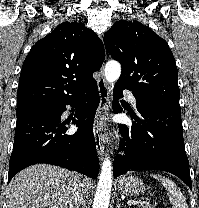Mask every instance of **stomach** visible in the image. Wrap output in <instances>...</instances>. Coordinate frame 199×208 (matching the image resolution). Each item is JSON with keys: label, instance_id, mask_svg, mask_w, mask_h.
<instances>
[{"label": "stomach", "instance_id": "obj_1", "mask_svg": "<svg viewBox=\"0 0 199 208\" xmlns=\"http://www.w3.org/2000/svg\"><path fill=\"white\" fill-rule=\"evenodd\" d=\"M118 190L130 197L138 196L145 190L143 181L136 176H125L118 181Z\"/></svg>", "mask_w": 199, "mask_h": 208}]
</instances>
